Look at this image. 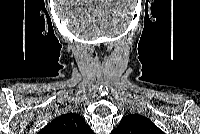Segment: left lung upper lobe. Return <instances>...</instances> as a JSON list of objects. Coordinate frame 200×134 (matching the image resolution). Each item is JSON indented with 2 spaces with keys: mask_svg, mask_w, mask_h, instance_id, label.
Segmentation results:
<instances>
[{
  "mask_svg": "<svg viewBox=\"0 0 200 134\" xmlns=\"http://www.w3.org/2000/svg\"><path fill=\"white\" fill-rule=\"evenodd\" d=\"M111 134H162V131L148 118L132 114L122 118Z\"/></svg>",
  "mask_w": 200,
  "mask_h": 134,
  "instance_id": "left-lung-upper-lobe-1",
  "label": "left lung upper lobe"
}]
</instances>
